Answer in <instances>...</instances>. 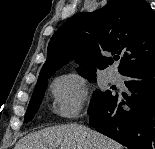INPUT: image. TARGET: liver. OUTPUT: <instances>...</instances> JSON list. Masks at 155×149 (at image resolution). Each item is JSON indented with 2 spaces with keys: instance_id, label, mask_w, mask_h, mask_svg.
Instances as JSON below:
<instances>
[{
  "instance_id": "6515ba94",
  "label": "liver",
  "mask_w": 155,
  "mask_h": 149,
  "mask_svg": "<svg viewBox=\"0 0 155 149\" xmlns=\"http://www.w3.org/2000/svg\"><path fill=\"white\" fill-rule=\"evenodd\" d=\"M14 149H122V145L88 127L67 124L30 133Z\"/></svg>"
}]
</instances>
